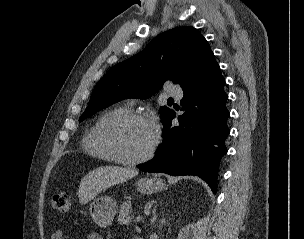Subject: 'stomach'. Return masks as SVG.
<instances>
[{"label":"stomach","mask_w":304,"mask_h":239,"mask_svg":"<svg viewBox=\"0 0 304 239\" xmlns=\"http://www.w3.org/2000/svg\"><path fill=\"white\" fill-rule=\"evenodd\" d=\"M136 186L140 193L149 195L164 189L165 184L159 178H141ZM117 209L118 205L115 200L108 196H102L93 200L89 212L98 226L107 227L112 223Z\"/></svg>","instance_id":"0dacf381"}]
</instances>
